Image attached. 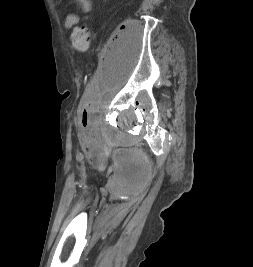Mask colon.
<instances>
[{"label": "colon", "instance_id": "obj_1", "mask_svg": "<svg viewBox=\"0 0 253 267\" xmlns=\"http://www.w3.org/2000/svg\"><path fill=\"white\" fill-rule=\"evenodd\" d=\"M90 44V31L86 24H81L73 29L72 45L79 52H85Z\"/></svg>", "mask_w": 253, "mask_h": 267}]
</instances>
